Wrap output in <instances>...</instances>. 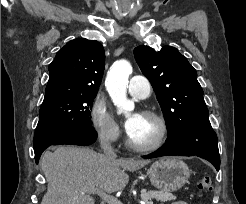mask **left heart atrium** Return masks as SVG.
<instances>
[{
    "instance_id": "obj_1",
    "label": "left heart atrium",
    "mask_w": 246,
    "mask_h": 204,
    "mask_svg": "<svg viewBox=\"0 0 246 204\" xmlns=\"http://www.w3.org/2000/svg\"><path fill=\"white\" fill-rule=\"evenodd\" d=\"M141 115L138 113L132 114L129 116L125 121V130L128 133V135L133 132V130L136 128Z\"/></svg>"
}]
</instances>
